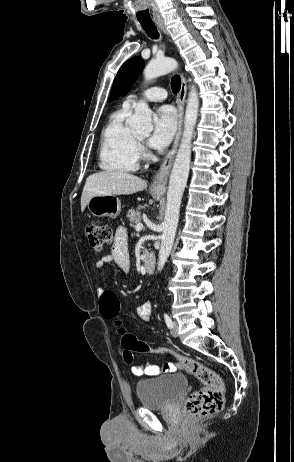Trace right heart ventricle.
Wrapping results in <instances>:
<instances>
[{
  "mask_svg": "<svg viewBox=\"0 0 294 462\" xmlns=\"http://www.w3.org/2000/svg\"><path fill=\"white\" fill-rule=\"evenodd\" d=\"M130 107L123 105L109 118L101 135L99 166L107 172L130 173L139 166V142L126 120Z\"/></svg>",
  "mask_w": 294,
  "mask_h": 462,
  "instance_id": "e07e8e85",
  "label": "right heart ventricle"
}]
</instances>
